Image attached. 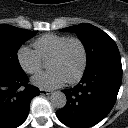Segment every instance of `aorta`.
Returning a JSON list of instances; mask_svg holds the SVG:
<instances>
[{"instance_id":"1","label":"aorta","mask_w":128,"mask_h":128,"mask_svg":"<svg viewBox=\"0 0 128 128\" xmlns=\"http://www.w3.org/2000/svg\"><path fill=\"white\" fill-rule=\"evenodd\" d=\"M51 105L55 108L61 109L66 105V95L61 91H55L50 97Z\"/></svg>"}]
</instances>
